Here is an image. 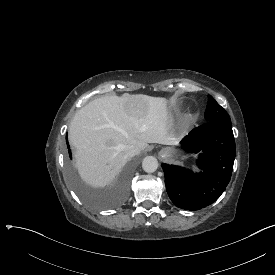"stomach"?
<instances>
[{
  "mask_svg": "<svg viewBox=\"0 0 275 275\" xmlns=\"http://www.w3.org/2000/svg\"><path fill=\"white\" fill-rule=\"evenodd\" d=\"M161 153H164L165 154V158H168L172 155H175L176 154V150L173 149V148H170V147H166V148H163L161 150Z\"/></svg>",
  "mask_w": 275,
  "mask_h": 275,
  "instance_id": "0dacf381",
  "label": "stomach"
}]
</instances>
